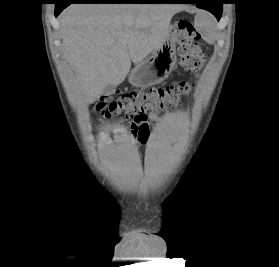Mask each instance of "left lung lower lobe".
Returning <instances> with one entry per match:
<instances>
[{"label":"left lung lower lobe","instance_id":"1","mask_svg":"<svg viewBox=\"0 0 279 267\" xmlns=\"http://www.w3.org/2000/svg\"><path fill=\"white\" fill-rule=\"evenodd\" d=\"M165 3H196V6L201 9L210 11L219 21L222 14L223 0H174Z\"/></svg>","mask_w":279,"mask_h":267}]
</instances>
